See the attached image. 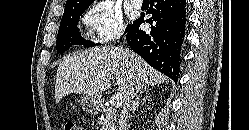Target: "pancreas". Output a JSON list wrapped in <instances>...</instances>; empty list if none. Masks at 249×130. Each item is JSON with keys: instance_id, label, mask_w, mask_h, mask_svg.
Masks as SVG:
<instances>
[{"instance_id": "obj_1", "label": "pancreas", "mask_w": 249, "mask_h": 130, "mask_svg": "<svg viewBox=\"0 0 249 130\" xmlns=\"http://www.w3.org/2000/svg\"><path fill=\"white\" fill-rule=\"evenodd\" d=\"M105 115H102L98 123L101 125L102 130H115V116H114V110L112 108H105L104 109Z\"/></svg>"}]
</instances>
